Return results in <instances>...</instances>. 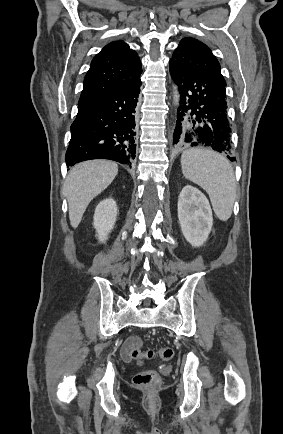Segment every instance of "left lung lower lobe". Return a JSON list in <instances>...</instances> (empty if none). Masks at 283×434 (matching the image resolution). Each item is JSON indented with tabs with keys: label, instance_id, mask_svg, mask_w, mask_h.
Returning a JSON list of instances; mask_svg holds the SVG:
<instances>
[{
	"label": "left lung lower lobe",
	"instance_id": "left-lung-lower-lobe-1",
	"mask_svg": "<svg viewBox=\"0 0 283 434\" xmlns=\"http://www.w3.org/2000/svg\"><path fill=\"white\" fill-rule=\"evenodd\" d=\"M170 74L180 95L174 144L203 146L229 153L231 129L227 119L225 86L173 60H170Z\"/></svg>",
	"mask_w": 283,
	"mask_h": 434
}]
</instances>
